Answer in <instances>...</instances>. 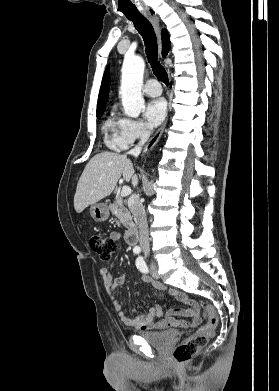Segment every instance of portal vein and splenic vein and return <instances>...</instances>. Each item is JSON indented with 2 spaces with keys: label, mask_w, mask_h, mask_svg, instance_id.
<instances>
[{
  "label": "portal vein and splenic vein",
  "mask_w": 279,
  "mask_h": 391,
  "mask_svg": "<svg viewBox=\"0 0 279 391\" xmlns=\"http://www.w3.org/2000/svg\"><path fill=\"white\" fill-rule=\"evenodd\" d=\"M131 193V188L129 186H123L121 190V197H126Z\"/></svg>",
  "instance_id": "obj_1"
}]
</instances>
